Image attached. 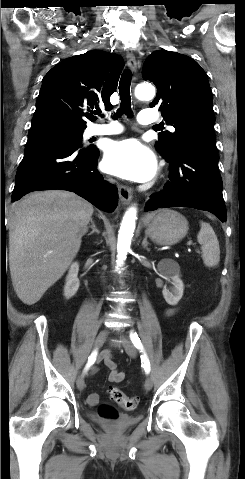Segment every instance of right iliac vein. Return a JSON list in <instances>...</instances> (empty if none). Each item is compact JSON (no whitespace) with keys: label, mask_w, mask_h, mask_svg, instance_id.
Returning <instances> with one entry per match:
<instances>
[{"label":"right iliac vein","mask_w":245,"mask_h":479,"mask_svg":"<svg viewBox=\"0 0 245 479\" xmlns=\"http://www.w3.org/2000/svg\"><path fill=\"white\" fill-rule=\"evenodd\" d=\"M108 336V331L105 329V330H102L96 340H95V343H94V348L95 349H98L102 346V344L104 343L105 339L107 338ZM76 384H77V387L79 390H83L85 388V382H84V378L82 375H79L78 378H77V381H76Z\"/></svg>","instance_id":"right-iliac-vein-1"}]
</instances>
